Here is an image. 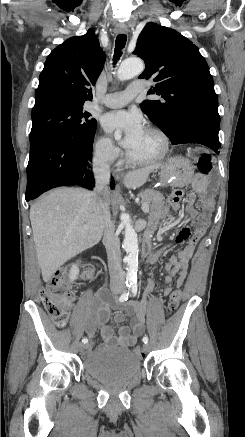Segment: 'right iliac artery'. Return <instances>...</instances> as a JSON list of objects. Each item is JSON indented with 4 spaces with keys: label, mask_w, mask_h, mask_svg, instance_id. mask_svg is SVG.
<instances>
[{
    "label": "right iliac artery",
    "mask_w": 245,
    "mask_h": 437,
    "mask_svg": "<svg viewBox=\"0 0 245 437\" xmlns=\"http://www.w3.org/2000/svg\"><path fill=\"white\" fill-rule=\"evenodd\" d=\"M129 285L127 284V287H128ZM128 295H129V292L127 291V290H125L124 292H123V294L120 296V298H119V301L120 302H124V301H126L127 299H128ZM82 342L84 343V344H86L87 342H88V339L87 338H83L82 339Z\"/></svg>",
    "instance_id": "obj_1"
}]
</instances>
